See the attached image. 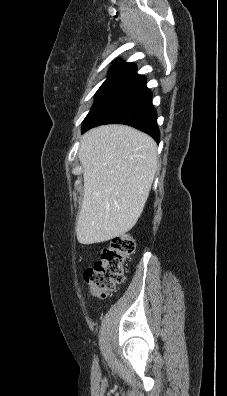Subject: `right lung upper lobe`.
<instances>
[{"mask_svg":"<svg viewBox=\"0 0 227 396\" xmlns=\"http://www.w3.org/2000/svg\"><path fill=\"white\" fill-rule=\"evenodd\" d=\"M126 70L136 72V67L133 63H125L122 61H117L116 65H113L110 71Z\"/></svg>","mask_w":227,"mask_h":396,"instance_id":"1","label":"right lung upper lobe"}]
</instances>
